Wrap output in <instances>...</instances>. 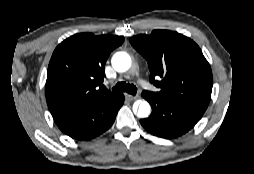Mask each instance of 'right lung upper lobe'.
Segmentation results:
<instances>
[{
  "label": "right lung upper lobe",
  "mask_w": 254,
  "mask_h": 174,
  "mask_svg": "<svg viewBox=\"0 0 254 174\" xmlns=\"http://www.w3.org/2000/svg\"><path fill=\"white\" fill-rule=\"evenodd\" d=\"M124 37L73 35L54 50L47 73L45 93L49 110L56 115L83 100L112 99L119 94L105 89V63Z\"/></svg>",
  "instance_id": "obj_1"
}]
</instances>
